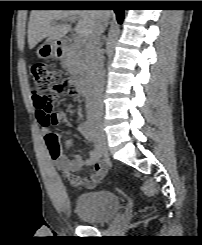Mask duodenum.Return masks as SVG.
<instances>
[{
  "mask_svg": "<svg viewBox=\"0 0 202 245\" xmlns=\"http://www.w3.org/2000/svg\"><path fill=\"white\" fill-rule=\"evenodd\" d=\"M63 43L57 42L56 48H55V53L57 58H62L63 54ZM75 88L79 95L81 96H87L89 94V85H88V80L85 77L79 78L75 82Z\"/></svg>",
  "mask_w": 202,
  "mask_h": 245,
  "instance_id": "obj_1",
  "label": "duodenum"
}]
</instances>
